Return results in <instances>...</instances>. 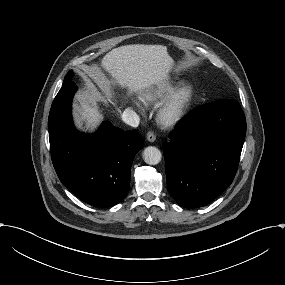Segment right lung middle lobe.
Returning <instances> with one entry per match:
<instances>
[{"label": "right lung middle lobe", "mask_w": 285, "mask_h": 285, "mask_svg": "<svg viewBox=\"0 0 285 285\" xmlns=\"http://www.w3.org/2000/svg\"><path fill=\"white\" fill-rule=\"evenodd\" d=\"M71 76H72V71H69L68 74L65 76L63 84H65L68 81H70Z\"/></svg>", "instance_id": "1"}]
</instances>
